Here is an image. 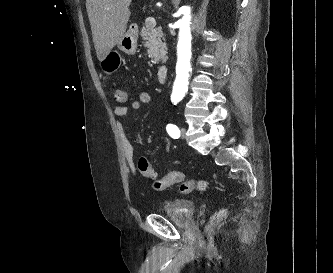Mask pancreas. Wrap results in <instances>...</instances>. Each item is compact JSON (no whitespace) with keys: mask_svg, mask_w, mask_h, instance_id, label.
Returning <instances> with one entry per match:
<instances>
[{"mask_svg":"<svg viewBox=\"0 0 333 273\" xmlns=\"http://www.w3.org/2000/svg\"><path fill=\"white\" fill-rule=\"evenodd\" d=\"M140 35L153 63L157 64L160 60L166 58L167 47L166 43L163 42L164 35L161 29L154 28L148 22H145Z\"/></svg>","mask_w":333,"mask_h":273,"instance_id":"obj_1","label":"pancreas"}]
</instances>
